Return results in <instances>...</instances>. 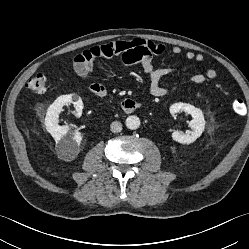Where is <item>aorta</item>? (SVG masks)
Masks as SVG:
<instances>
[{
    "mask_svg": "<svg viewBox=\"0 0 249 249\" xmlns=\"http://www.w3.org/2000/svg\"><path fill=\"white\" fill-rule=\"evenodd\" d=\"M126 127L130 130H136L140 126V119L137 116H129L125 121Z\"/></svg>",
    "mask_w": 249,
    "mask_h": 249,
    "instance_id": "1",
    "label": "aorta"
}]
</instances>
